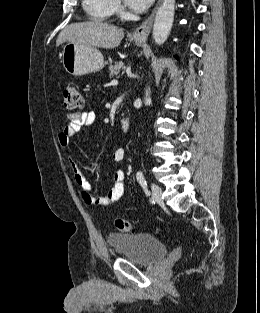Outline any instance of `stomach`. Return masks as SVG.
Masks as SVG:
<instances>
[{"label": "stomach", "mask_w": 260, "mask_h": 313, "mask_svg": "<svg viewBox=\"0 0 260 313\" xmlns=\"http://www.w3.org/2000/svg\"><path fill=\"white\" fill-rule=\"evenodd\" d=\"M135 43L141 46L144 41L135 39ZM62 63L69 74L82 76L100 71L104 67V58L95 47L69 42L63 48Z\"/></svg>", "instance_id": "1"}]
</instances>
